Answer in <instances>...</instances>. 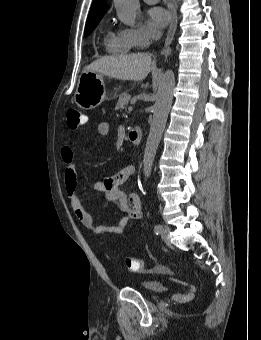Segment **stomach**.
Segmentation results:
<instances>
[{"label":"stomach","mask_w":261,"mask_h":340,"mask_svg":"<svg viewBox=\"0 0 261 340\" xmlns=\"http://www.w3.org/2000/svg\"><path fill=\"white\" fill-rule=\"evenodd\" d=\"M108 98L103 75L83 71L79 77L74 101L84 110L94 109Z\"/></svg>","instance_id":"0dacf381"}]
</instances>
